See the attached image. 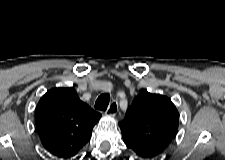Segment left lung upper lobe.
Returning <instances> with one entry per match:
<instances>
[{"label":"left lung upper lobe","mask_w":225,"mask_h":160,"mask_svg":"<svg viewBox=\"0 0 225 160\" xmlns=\"http://www.w3.org/2000/svg\"><path fill=\"white\" fill-rule=\"evenodd\" d=\"M179 114L169 98L143 90L119 123L124 142L136 155L153 158L174 139Z\"/></svg>","instance_id":"obj_1"}]
</instances>
